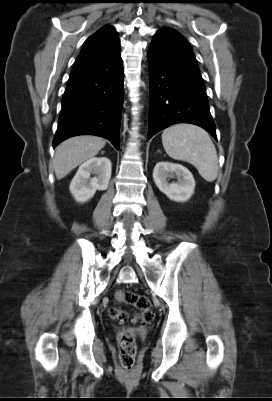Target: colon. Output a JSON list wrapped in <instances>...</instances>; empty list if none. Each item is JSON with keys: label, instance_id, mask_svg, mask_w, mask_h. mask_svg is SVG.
Returning a JSON list of instances; mask_svg holds the SVG:
<instances>
[{"label": "colon", "instance_id": "obj_1", "mask_svg": "<svg viewBox=\"0 0 272 401\" xmlns=\"http://www.w3.org/2000/svg\"><path fill=\"white\" fill-rule=\"evenodd\" d=\"M114 300L116 303H124L137 308L140 311V314L136 316V319L141 322L148 324L154 320L155 314L151 307V303L146 296L136 294L129 290H119L115 293ZM109 314L113 319L122 322L129 319L128 313L122 312L116 307H111L109 309ZM117 341L119 360L122 368L126 371L133 370L137 353V346L133 332L122 330L118 334Z\"/></svg>", "mask_w": 272, "mask_h": 401}]
</instances>
